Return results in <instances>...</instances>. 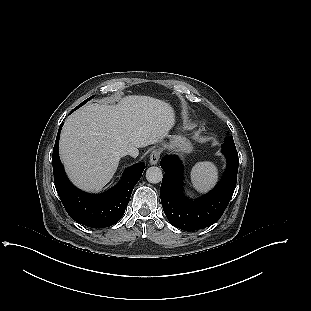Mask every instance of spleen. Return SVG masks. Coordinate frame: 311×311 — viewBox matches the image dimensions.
<instances>
[{"label": "spleen", "instance_id": "spleen-1", "mask_svg": "<svg viewBox=\"0 0 311 311\" xmlns=\"http://www.w3.org/2000/svg\"><path fill=\"white\" fill-rule=\"evenodd\" d=\"M217 179V167L212 162H198L191 170L193 187L199 192H207L215 185Z\"/></svg>", "mask_w": 311, "mask_h": 311}]
</instances>
